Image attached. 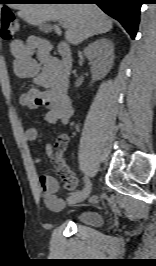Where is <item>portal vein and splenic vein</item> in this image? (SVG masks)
<instances>
[{
	"mask_svg": "<svg viewBox=\"0 0 156 266\" xmlns=\"http://www.w3.org/2000/svg\"><path fill=\"white\" fill-rule=\"evenodd\" d=\"M59 23H60V25H61L62 27H64V28L67 27V25H66V23H65L64 21L60 20Z\"/></svg>",
	"mask_w": 156,
	"mask_h": 266,
	"instance_id": "obj_1",
	"label": "portal vein and splenic vein"
}]
</instances>
